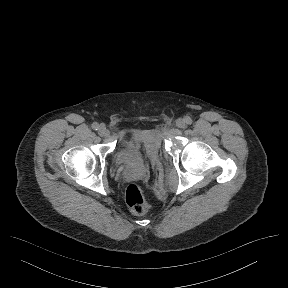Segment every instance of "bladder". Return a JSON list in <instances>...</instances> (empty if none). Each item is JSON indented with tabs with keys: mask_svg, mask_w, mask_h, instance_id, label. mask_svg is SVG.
<instances>
[{
	"mask_svg": "<svg viewBox=\"0 0 288 288\" xmlns=\"http://www.w3.org/2000/svg\"><path fill=\"white\" fill-rule=\"evenodd\" d=\"M160 150V139L153 129H133L123 133L113 150L117 166L135 167L145 159H154Z\"/></svg>",
	"mask_w": 288,
	"mask_h": 288,
	"instance_id": "31cf9c89",
	"label": "bladder"
}]
</instances>
